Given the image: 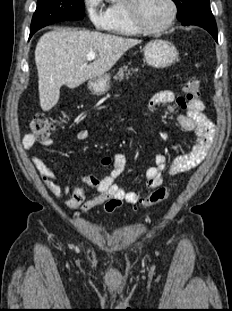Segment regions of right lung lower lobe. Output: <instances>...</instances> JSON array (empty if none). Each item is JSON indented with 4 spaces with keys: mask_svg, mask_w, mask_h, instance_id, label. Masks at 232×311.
I'll list each match as a JSON object with an SVG mask.
<instances>
[{
    "mask_svg": "<svg viewBox=\"0 0 232 311\" xmlns=\"http://www.w3.org/2000/svg\"><path fill=\"white\" fill-rule=\"evenodd\" d=\"M37 30H33V31H31V33H30V37L29 38H31V36L36 32Z\"/></svg>",
    "mask_w": 232,
    "mask_h": 311,
    "instance_id": "right-lung-lower-lobe-1",
    "label": "right lung lower lobe"
}]
</instances>
